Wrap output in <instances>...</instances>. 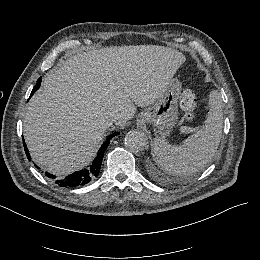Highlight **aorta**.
<instances>
[{"mask_svg":"<svg viewBox=\"0 0 260 260\" xmlns=\"http://www.w3.org/2000/svg\"><path fill=\"white\" fill-rule=\"evenodd\" d=\"M124 143L129 151L139 152L147 147L148 138L145 133L133 130L126 134Z\"/></svg>","mask_w":260,"mask_h":260,"instance_id":"aorta-1","label":"aorta"}]
</instances>
